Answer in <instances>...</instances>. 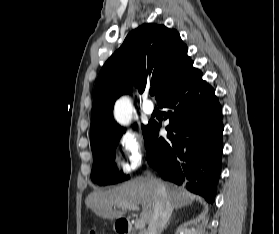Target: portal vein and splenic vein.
Instances as JSON below:
<instances>
[{
	"mask_svg": "<svg viewBox=\"0 0 279 234\" xmlns=\"http://www.w3.org/2000/svg\"><path fill=\"white\" fill-rule=\"evenodd\" d=\"M118 207L124 208V209H130V210H139V206L131 203H121L118 205ZM145 226V222L143 220H137L135 223V227L137 229H142Z\"/></svg>",
	"mask_w": 279,
	"mask_h": 234,
	"instance_id": "portal-vein-and-splenic-vein-1",
	"label": "portal vein and splenic vein"
}]
</instances>
